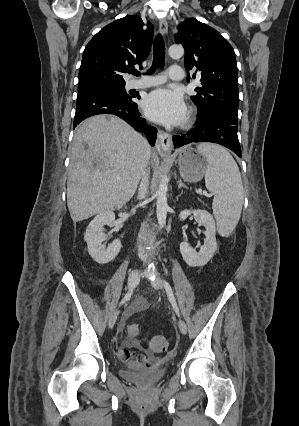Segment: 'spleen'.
I'll return each instance as SVG.
<instances>
[{
  "label": "spleen",
  "mask_w": 299,
  "mask_h": 426,
  "mask_svg": "<svg viewBox=\"0 0 299 426\" xmlns=\"http://www.w3.org/2000/svg\"><path fill=\"white\" fill-rule=\"evenodd\" d=\"M198 150L208 160L205 184L215 195L212 209L218 231L228 236L240 219L244 200L239 168L230 153L219 145L203 143Z\"/></svg>",
  "instance_id": "3e777b00"
}]
</instances>
